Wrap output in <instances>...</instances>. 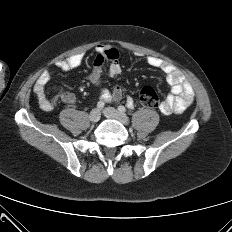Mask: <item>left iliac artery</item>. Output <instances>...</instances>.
Wrapping results in <instances>:
<instances>
[{"instance_id":"left-iliac-artery-1","label":"left iliac artery","mask_w":232,"mask_h":232,"mask_svg":"<svg viewBox=\"0 0 232 232\" xmlns=\"http://www.w3.org/2000/svg\"><path fill=\"white\" fill-rule=\"evenodd\" d=\"M128 106V108H130V109H132L133 108V104L132 105H127ZM118 110L120 111V112H125L126 111V108L124 107V106H119L118 107Z\"/></svg>"}]
</instances>
